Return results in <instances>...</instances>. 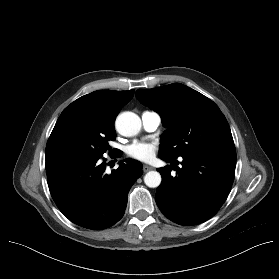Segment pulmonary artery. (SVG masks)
Segmentation results:
<instances>
[{
  "mask_svg": "<svg viewBox=\"0 0 279 279\" xmlns=\"http://www.w3.org/2000/svg\"><path fill=\"white\" fill-rule=\"evenodd\" d=\"M143 127L146 131H155L161 124V116L154 111H146L141 116Z\"/></svg>",
  "mask_w": 279,
  "mask_h": 279,
  "instance_id": "e3ab8cb5",
  "label": "pulmonary artery"
}]
</instances>
